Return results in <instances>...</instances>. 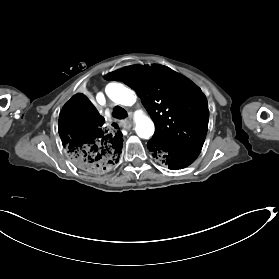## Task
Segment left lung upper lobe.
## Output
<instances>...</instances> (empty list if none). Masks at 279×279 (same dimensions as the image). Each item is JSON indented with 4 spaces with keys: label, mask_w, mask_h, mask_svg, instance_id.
Listing matches in <instances>:
<instances>
[{
    "label": "left lung upper lobe",
    "mask_w": 279,
    "mask_h": 279,
    "mask_svg": "<svg viewBox=\"0 0 279 279\" xmlns=\"http://www.w3.org/2000/svg\"><path fill=\"white\" fill-rule=\"evenodd\" d=\"M134 89L155 123L151 142L201 149L209 110L205 95L187 77L163 65H133L105 76Z\"/></svg>",
    "instance_id": "obj_1"
}]
</instances>
